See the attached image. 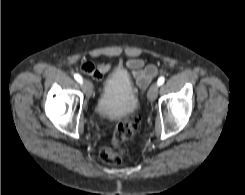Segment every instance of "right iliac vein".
<instances>
[{
    "label": "right iliac vein",
    "mask_w": 245,
    "mask_h": 195,
    "mask_svg": "<svg viewBox=\"0 0 245 195\" xmlns=\"http://www.w3.org/2000/svg\"><path fill=\"white\" fill-rule=\"evenodd\" d=\"M82 85H83V88H84V91H85L86 95L88 97H91L92 96V93H93V86H92V84L89 81L85 80L82 83Z\"/></svg>",
    "instance_id": "63e3f726"
}]
</instances>
